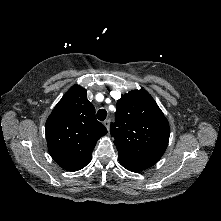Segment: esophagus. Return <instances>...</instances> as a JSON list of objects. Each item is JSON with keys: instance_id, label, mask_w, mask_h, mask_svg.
<instances>
[{"instance_id": "esophagus-1", "label": "esophagus", "mask_w": 221, "mask_h": 221, "mask_svg": "<svg viewBox=\"0 0 221 221\" xmlns=\"http://www.w3.org/2000/svg\"><path fill=\"white\" fill-rule=\"evenodd\" d=\"M104 126L107 128V130H109V127H110V120L109 119H106L104 122H103Z\"/></svg>"}]
</instances>
